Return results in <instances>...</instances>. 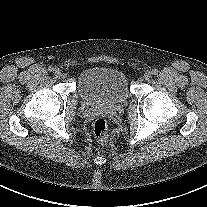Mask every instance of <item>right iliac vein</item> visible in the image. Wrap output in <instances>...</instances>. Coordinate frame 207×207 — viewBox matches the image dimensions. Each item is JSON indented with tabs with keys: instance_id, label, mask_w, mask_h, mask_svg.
Wrapping results in <instances>:
<instances>
[{
	"instance_id": "obj_1",
	"label": "right iliac vein",
	"mask_w": 207,
	"mask_h": 207,
	"mask_svg": "<svg viewBox=\"0 0 207 207\" xmlns=\"http://www.w3.org/2000/svg\"><path fill=\"white\" fill-rule=\"evenodd\" d=\"M54 75L56 77H60L61 76V70L59 68L54 69Z\"/></svg>"
}]
</instances>
